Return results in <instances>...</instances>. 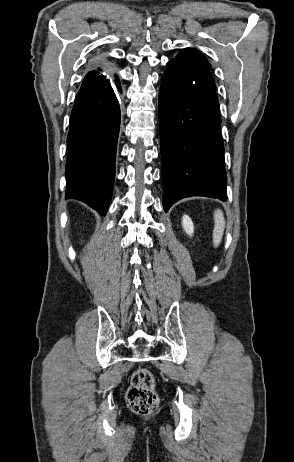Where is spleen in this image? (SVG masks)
Segmentation results:
<instances>
[{
	"label": "spleen",
	"mask_w": 294,
	"mask_h": 462,
	"mask_svg": "<svg viewBox=\"0 0 294 462\" xmlns=\"http://www.w3.org/2000/svg\"><path fill=\"white\" fill-rule=\"evenodd\" d=\"M214 222H215V226L213 230V243H214V246L217 247L219 246L222 240L224 227H225L224 215L222 211L219 209L214 212Z\"/></svg>",
	"instance_id": "spleen-1"
}]
</instances>
